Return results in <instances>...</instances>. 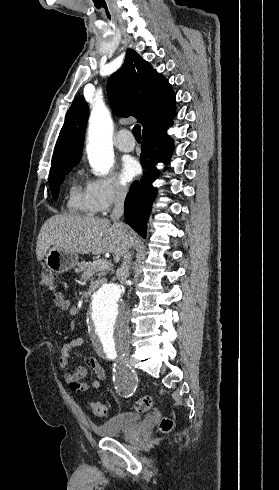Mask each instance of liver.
<instances>
[{"instance_id":"liver-1","label":"liver","mask_w":279,"mask_h":490,"mask_svg":"<svg viewBox=\"0 0 279 490\" xmlns=\"http://www.w3.org/2000/svg\"><path fill=\"white\" fill-rule=\"evenodd\" d=\"M120 232H126V236H120ZM136 236L126 224L123 228L112 226L107 218L52 216L39 232L36 256L41 262L50 246H54L73 254H112L114 262H119Z\"/></svg>"}]
</instances>
